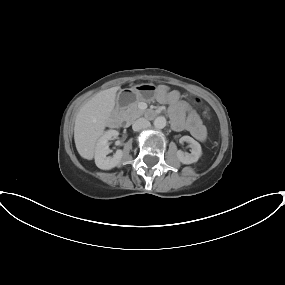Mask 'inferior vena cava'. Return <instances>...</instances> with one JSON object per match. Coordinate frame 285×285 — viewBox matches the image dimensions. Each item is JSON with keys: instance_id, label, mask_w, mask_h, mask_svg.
<instances>
[{"instance_id": "1", "label": "inferior vena cava", "mask_w": 285, "mask_h": 285, "mask_svg": "<svg viewBox=\"0 0 285 285\" xmlns=\"http://www.w3.org/2000/svg\"><path fill=\"white\" fill-rule=\"evenodd\" d=\"M149 126H150V122L147 119L139 118L136 121H134V123L132 125V129L134 131H139L141 129L148 128Z\"/></svg>"}]
</instances>
